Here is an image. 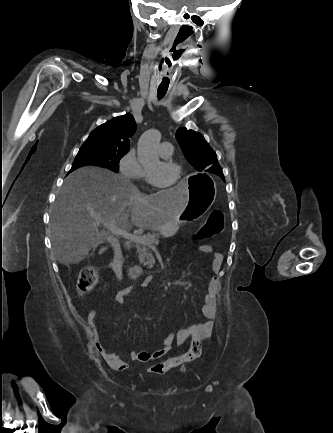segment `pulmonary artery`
I'll return each mask as SVG.
<instances>
[{"mask_svg":"<svg viewBox=\"0 0 333 433\" xmlns=\"http://www.w3.org/2000/svg\"><path fill=\"white\" fill-rule=\"evenodd\" d=\"M159 153L162 157H169L173 153V146L169 142H162L159 145Z\"/></svg>","mask_w":333,"mask_h":433,"instance_id":"e3ab8cb5","label":"pulmonary artery"}]
</instances>
